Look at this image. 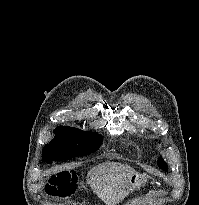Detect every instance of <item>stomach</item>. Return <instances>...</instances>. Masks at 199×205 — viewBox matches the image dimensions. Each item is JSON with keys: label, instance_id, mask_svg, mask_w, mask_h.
I'll return each instance as SVG.
<instances>
[{"label": "stomach", "instance_id": "stomach-1", "mask_svg": "<svg viewBox=\"0 0 199 205\" xmlns=\"http://www.w3.org/2000/svg\"><path fill=\"white\" fill-rule=\"evenodd\" d=\"M146 183V177L144 174H139L137 172L133 173L128 178V189H134V188H140L141 186H144Z\"/></svg>", "mask_w": 199, "mask_h": 205}]
</instances>
